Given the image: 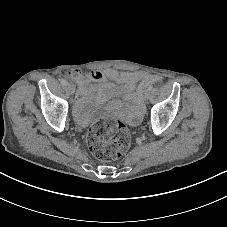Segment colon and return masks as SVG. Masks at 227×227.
<instances>
[{"mask_svg":"<svg viewBox=\"0 0 227 227\" xmlns=\"http://www.w3.org/2000/svg\"><path fill=\"white\" fill-rule=\"evenodd\" d=\"M131 136L121 122L100 120L87 133V143L92 154L101 161H112L126 152Z\"/></svg>","mask_w":227,"mask_h":227,"instance_id":"obj_1","label":"colon"}]
</instances>
